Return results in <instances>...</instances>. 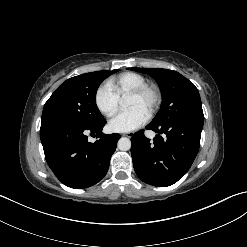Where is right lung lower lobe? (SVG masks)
<instances>
[{"mask_svg":"<svg viewBox=\"0 0 247 247\" xmlns=\"http://www.w3.org/2000/svg\"><path fill=\"white\" fill-rule=\"evenodd\" d=\"M103 119L90 126L58 122L43 125L40 138L46 161L66 186L83 189L95 185L106 175L119 134H103ZM97 136L88 142L87 133Z\"/></svg>","mask_w":247,"mask_h":247,"instance_id":"98d812e1","label":"right lung lower lobe"}]
</instances>
